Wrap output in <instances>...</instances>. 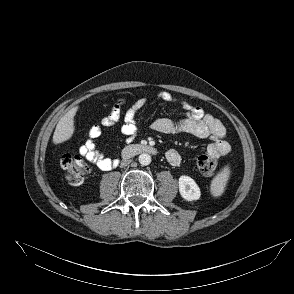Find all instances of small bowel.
<instances>
[{"label":"small bowel","instance_id":"small-bowel-1","mask_svg":"<svg viewBox=\"0 0 294 294\" xmlns=\"http://www.w3.org/2000/svg\"><path fill=\"white\" fill-rule=\"evenodd\" d=\"M157 98L164 103H177V98L167 91H161ZM149 103L148 98L138 99L126 112L121 133L126 136L128 142L132 141L138 134L136 124L137 112ZM179 104L185 112V118L180 121H173L169 118H157L150 127L152 130L163 134L188 133L201 138H209L211 143L208 145L206 153L214 158H220L229 154L231 147L225 140L226 130L223 124L203 109L194 106L187 101H179ZM120 111L118 106H114L111 112L102 118L101 125H94L90 128L88 138L80 147V153L88 161L96 164L101 170L108 171L118 165L117 159L105 157L96 146V140L101 136L106 128H110L118 123ZM166 160L172 166H178L181 163V155L175 149L166 152Z\"/></svg>","mask_w":294,"mask_h":294}]
</instances>
